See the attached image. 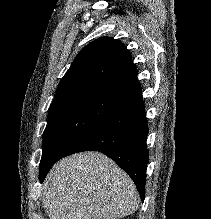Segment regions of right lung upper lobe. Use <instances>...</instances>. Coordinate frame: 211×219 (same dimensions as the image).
I'll return each mask as SVG.
<instances>
[{"instance_id": "1", "label": "right lung upper lobe", "mask_w": 211, "mask_h": 219, "mask_svg": "<svg viewBox=\"0 0 211 219\" xmlns=\"http://www.w3.org/2000/svg\"><path fill=\"white\" fill-rule=\"evenodd\" d=\"M137 70L121 41L101 37L84 47L62 78L51 105L96 98L117 106L142 93Z\"/></svg>"}]
</instances>
